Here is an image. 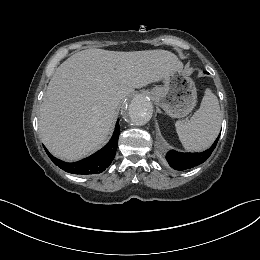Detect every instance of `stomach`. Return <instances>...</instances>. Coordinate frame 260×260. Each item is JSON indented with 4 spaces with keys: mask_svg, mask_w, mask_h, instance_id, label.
Instances as JSON below:
<instances>
[{
    "mask_svg": "<svg viewBox=\"0 0 260 260\" xmlns=\"http://www.w3.org/2000/svg\"><path fill=\"white\" fill-rule=\"evenodd\" d=\"M150 93L156 104L167 115L175 118L188 115L197 103L195 84L181 71H176L165 77L163 85L154 87Z\"/></svg>",
    "mask_w": 260,
    "mask_h": 260,
    "instance_id": "0dacf381",
    "label": "stomach"
}]
</instances>
